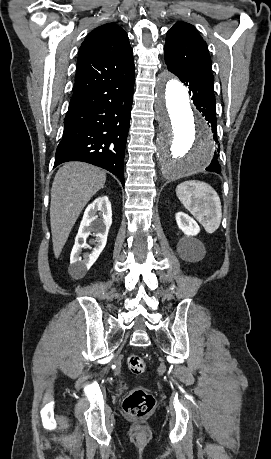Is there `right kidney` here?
Masks as SVG:
<instances>
[{"mask_svg": "<svg viewBox=\"0 0 271 459\" xmlns=\"http://www.w3.org/2000/svg\"><path fill=\"white\" fill-rule=\"evenodd\" d=\"M112 224L111 204L107 196H99L92 204L87 206L83 220L75 237V243L72 247L70 255L69 273L75 279H80L86 275L88 269L99 257L102 249H104L107 241L108 231ZM91 231H95V239H90L89 243H93V251L90 253H82V247L87 245L86 239L91 235Z\"/></svg>", "mask_w": 271, "mask_h": 459, "instance_id": "obj_1", "label": "right kidney"}]
</instances>
